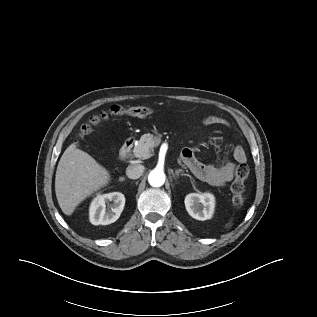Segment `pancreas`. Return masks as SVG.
Listing matches in <instances>:
<instances>
[{
	"instance_id": "obj_1",
	"label": "pancreas",
	"mask_w": 317,
	"mask_h": 317,
	"mask_svg": "<svg viewBox=\"0 0 317 317\" xmlns=\"http://www.w3.org/2000/svg\"><path fill=\"white\" fill-rule=\"evenodd\" d=\"M155 146H157L155 137L150 133L144 134L141 136L140 140L137 141L133 149L134 156L138 158H147L150 156V151L153 150Z\"/></svg>"
}]
</instances>
